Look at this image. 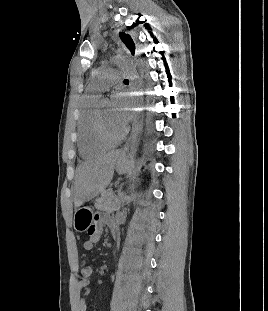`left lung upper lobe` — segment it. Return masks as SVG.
Segmentation results:
<instances>
[{"label":"left lung upper lobe","mask_w":268,"mask_h":311,"mask_svg":"<svg viewBox=\"0 0 268 311\" xmlns=\"http://www.w3.org/2000/svg\"><path fill=\"white\" fill-rule=\"evenodd\" d=\"M120 38L123 41V43L126 45V47L130 50L131 54L134 55L135 53V44L130 37V35H127L125 33H120Z\"/></svg>","instance_id":"obj_1"}]
</instances>
